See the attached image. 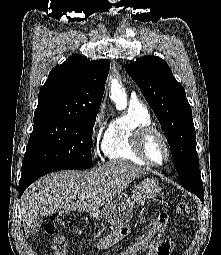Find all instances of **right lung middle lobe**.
Segmentation results:
<instances>
[{
    "mask_svg": "<svg viewBox=\"0 0 221 255\" xmlns=\"http://www.w3.org/2000/svg\"><path fill=\"white\" fill-rule=\"evenodd\" d=\"M97 113L34 115L33 132L22 170L32 166L60 170L90 168L92 132Z\"/></svg>",
    "mask_w": 221,
    "mask_h": 255,
    "instance_id": "1",
    "label": "right lung middle lobe"
}]
</instances>
